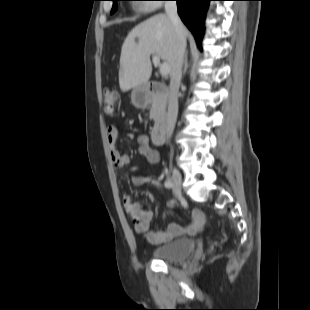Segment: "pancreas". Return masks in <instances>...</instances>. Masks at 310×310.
<instances>
[{"instance_id": "cf45deb5", "label": "pancreas", "mask_w": 310, "mask_h": 310, "mask_svg": "<svg viewBox=\"0 0 310 310\" xmlns=\"http://www.w3.org/2000/svg\"><path fill=\"white\" fill-rule=\"evenodd\" d=\"M162 113V107L159 100L154 99L150 108V119L156 121Z\"/></svg>"}]
</instances>
